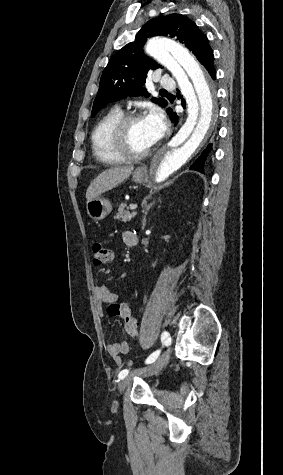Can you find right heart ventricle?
<instances>
[{
	"label": "right heart ventricle",
	"mask_w": 283,
	"mask_h": 475,
	"mask_svg": "<svg viewBox=\"0 0 283 475\" xmlns=\"http://www.w3.org/2000/svg\"><path fill=\"white\" fill-rule=\"evenodd\" d=\"M124 115V111L119 106H114L109 109L95 124L91 133V145L92 151L95 157L103 162L99 157V151L102 149L105 153V147L107 146V139L109 133L117 122Z\"/></svg>",
	"instance_id": "obj_1"
}]
</instances>
